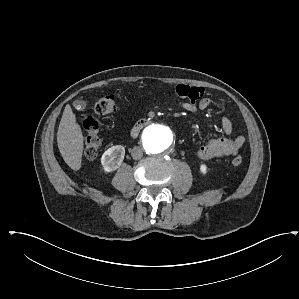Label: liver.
<instances>
[{
    "instance_id": "liver-1",
    "label": "liver",
    "mask_w": 299,
    "mask_h": 299,
    "mask_svg": "<svg viewBox=\"0 0 299 299\" xmlns=\"http://www.w3.org/2000/svg\"><path fill=\"white\" fill-rule=\"evenodd\" d=\"M57 143L65 163L72 170H79L82 162L84 137L70 105L64 109L57 132Z\"/></svg>"
}]
</instances>
